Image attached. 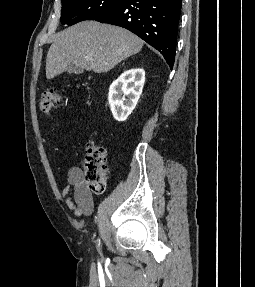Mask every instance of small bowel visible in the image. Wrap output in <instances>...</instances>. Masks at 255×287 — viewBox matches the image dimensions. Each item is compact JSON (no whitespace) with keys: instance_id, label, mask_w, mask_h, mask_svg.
Instances as JSON below:
<instances>
[{"instance_id":"1","label":"small bowel","mask_w":255,"mask_h":287,"mask_svg":"<svg viewBox=\"0 0 255 287\" xmlns=\"http://www.w3.org/2000/svg\"><path fill=\"white\" fill-rule=\"evenodd\" d=\"M67 206L76 217L90 215L93 210V197L88 189L84 172L79 167H72L67 173V185L61 192Z\"/></svg>"}]
</instances>
